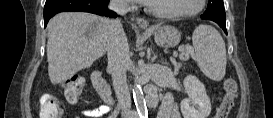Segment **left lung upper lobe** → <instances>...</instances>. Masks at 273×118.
<instances>
[{"label": "left lung upper lobe", "instance_id": "left-lung-upper-lobe-1", "mask_svg": "<svg viewBox=\"0 0 273 118\" xmlns=\"http://www.w3.org/2000/svg\"><path fill=\"white\" fill-rule=\"evenodd\" d=\"M201 18L226 22L223 0H209L208 7Z\"/></svg>", "mask_w": 273, "mask_h": 118}]
</instances>
